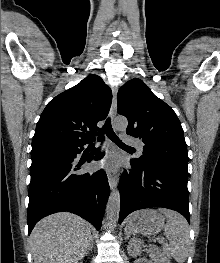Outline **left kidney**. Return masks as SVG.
Returning <instances> with one entry per match:
<instances>
[{"label": "left kidney", "instance_id": "1", "mask_svg": "<svg viewBox=\"0 0 220 263\" xmlns=\"http://www.w3.org/2000/svg\"><path fill=\"white\" fill-rule=\"evenodd\" d=\"M143 242L140 239L132 238L128 244V253L132 257H137L141 254ZM149 255L153 263H170L168 258L159 250L157 246L150 245L148 249Z\"/></svg>", "mask_w": 220, "mask_h": 263}]
</instances>
